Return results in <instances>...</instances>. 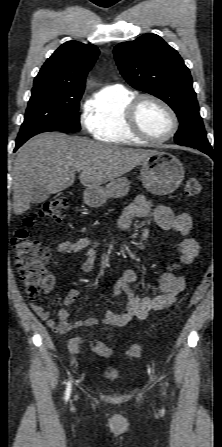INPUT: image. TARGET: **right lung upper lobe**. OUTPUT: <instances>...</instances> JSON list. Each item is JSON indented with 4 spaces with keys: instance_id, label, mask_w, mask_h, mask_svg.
<instances>
[{
    "instance_id": "cb5924a9",
    "label": "right lung upper lobe",
    "mask_w": 222,
    "mask_h": 447,
    "mask_svg": "<svg viewBox=\"0 0 222 447\" xmlns=\"http://www.w3.org/2000/svg\"><path fill=\"white\" fill-rule=\"evenodd\" d=\"M99 50L92 44L68 41L62 44L40 69L34 87H50L65 95L83 94L84 82Z\"/></svg>"
}]
</instances>
